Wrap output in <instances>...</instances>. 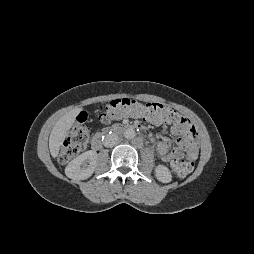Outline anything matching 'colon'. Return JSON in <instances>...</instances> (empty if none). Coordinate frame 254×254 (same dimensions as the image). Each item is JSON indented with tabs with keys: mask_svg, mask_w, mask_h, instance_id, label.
<instances>
[{
	"mask_svg": "<svg viewBox=\"0 0 254 254\" xmlns=\"http://www.w3.org/2000/svg\"><path fill=\"white\" fill-rule=\"evenodd\" d=\"M130 116L165 124H186L188 120L176 110L158 102L140 103L131 99L113 100L100 109V119L110 122L114 119ZM91 137V130L85 115L80 114L70 128L59 154L60 163H67L79 155ZM172 172L180 178L187 177L193 170V163L188 160H175L171 164Z\"/></svg>",
	"mask_w": 254,
	"mask_h": 254,
	"instance_id": "obj_1",
	"label": "colon"
}]
</instances>
